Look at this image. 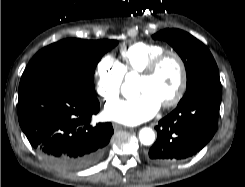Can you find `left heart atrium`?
Masks as SVG:
<instances>
[{"label": "left heart atrium", "mask_w": 245, "mask_h": 187, "mask_svg": "<svg viewBox=\"0 0 245 187\" xmlns=\"http://www.w3.org/2000/svg\"><path fill=\"white\" fill-rule=\"evenodd\" d=\"M160 107L161 103L154 95L143 92L136 99L107 105L104 116L126 125H137L151 119Z\"/></svg>", "instance_id": "39dd6f15"}]
</instances>
